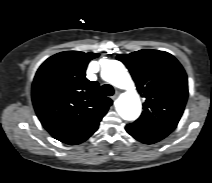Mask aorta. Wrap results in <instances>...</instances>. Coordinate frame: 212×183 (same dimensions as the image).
<instances>
[{
  "label": "aorta",
  "mask_w": 212,
  "mask_h": 183,
  "mask_svg": "<svg viewBox=\"0 0 212 183\" xmlns=\"http://www.w3.org/2000/svg\"><path fill=\"white\" fill-rule=\"evenodd\" d=\"M101 77L118 88L129 90L117 100L116 109L124 120H136L141 113L142 106L125 66L117 60H105L101 67Z\"/></svg>",
  "instance_id": "obj_1"
}]
</instances>
